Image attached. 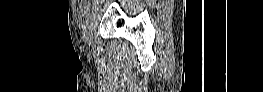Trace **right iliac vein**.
I'll use <instances>...</instances> for the list:
<instances>
[{
  "label": "right iliac vein",
  "mask_w": 263,
  "mask_h": 92,
  "mask_svg": "<svg viewBox=\"0 0 263 92\" xmlns=\"http://www.w3.org/2000/svg\"><path fill=\"white\" fill-rule=\"evenodd\" d=\"M85 41L88 45H91L92 43V32L88 30L85 34Z\"/></svg>",
  "instance_id": "right-iliac-vein-1"
}]
</instances>
